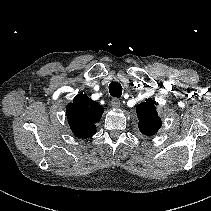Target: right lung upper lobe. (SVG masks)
I'll return each instance as SVG.
<instances>
[{"instance_id":"1","label":"right lung upper lobe","mask_w":211,"mask_h":211,"mask_svg":"<svg viewBox=\"0 0 211 211\" xmlns=\"http://www.w3.org/2000/svg\"><path fill=\"white\" fill-rule=\"evenodd\" d=\"M103 111V107L86 94H78L66 107L69 125L73 133L82 139L96 133L95 123L101 119Z\"/></svg>"}]
</instances>
